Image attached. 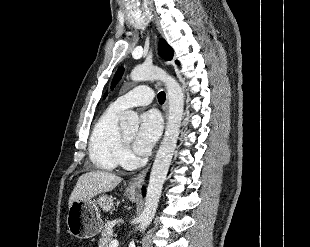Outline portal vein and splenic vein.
<instances>
[{"instance_id": "portal-vein-and-splenic-vein-1", "label": "portal vein and splenic vein", "mask_w": 310, "mask_h": 247, "mask_svg": "<svg viewBox=\"0 0 310 247\" xmlns=\"http://www.w3.org/2000/svg\"><path fill=\"white\" fill-rule=\"evenodd\" d=\"M119 246V242L118 240H112L109 247H118Z\"/></svg>"}]
</instances>
